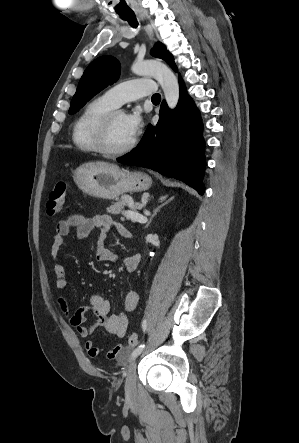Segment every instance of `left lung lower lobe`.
Listing matches in <instances>:
<instances>
[{
  "mask_svg": "<svg viewBox=\"0 0 299 443\" xmlns=\"http://www.w3.org/2000/svg\"><path fill=\"white\" fill-rule=\"evenodd\" d=\"M159 116L157 125L148 126L137 147L117 161L149 168L181 180L203 195L205 157L202 124L200 114L181 79L176 109L169 110L163 101Z\"/></svg>",
  "mask_w": 299,
  "mask_h": 443,
  "instance_id": "obj_1",
  "label": "left lung lower lobe"
}]
</instances>
